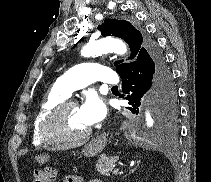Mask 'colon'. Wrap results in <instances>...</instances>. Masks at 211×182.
I'll use <instances>...</instances> for the list:
<instances>
[{
	"instance_id": "5ec220e1",
	"label": "colon",
	"mask_w": 211,
	"mask_h": 182,
	"mask_svg": "<svg viewBox=\"0 0 211 182\" xmlns=\"http://www.w3.org/2000/svg\"><path fill=\"white\" fill-rule=\"evenodd\" d=\"M56 176V171L53 167H45L43 170H35L33 173L32 182H49Z\"/></svg>"
}]
</instances>
